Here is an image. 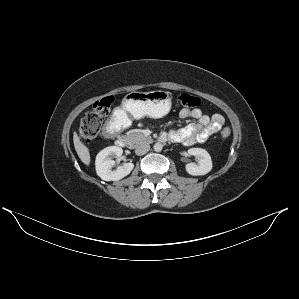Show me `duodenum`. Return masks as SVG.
Wrapping results in <instances>:
<instances>
[{"label":"duodenum","instance_id":"obj_1","mask_svg":"<svg viewBox=\"0 0 299 299\" xmlns=\"http://www.w3.org/2000/svg\"><path fill=\"white\" fill-rule=\"evenodd\" d=\"M117 129H118L117 122L114 119L110 120L104 127V136L107 138L113 137L117 132ZM167 140H168L167 135L165 134L160 135L159 137L160 142H166ZM127 144H128V140L126 137L121 136L116 138V145L118 147L124 148L127 146Z\"/></svg>","mask_w":299,"mask_h":299}]
</instances>
